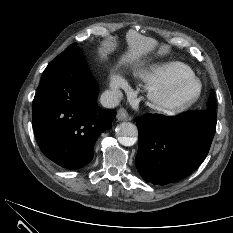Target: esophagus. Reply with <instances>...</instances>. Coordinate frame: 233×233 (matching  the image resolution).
<instances>
[{
    "label": "esophagus",
    "instance_id": "1",
    "mask_svg": "<svg viewBox=\"0 0 233 233\" xmlns=\"http://www.w3.org/2000/svg\"><path fill=\"white\" fill-rule=\"evenodd\" d=\"M117 119H118V121H130L132 118L126 109L120 108L117 111Z\"/></svg>",
    "mask_w": 233,
    "mask_h": 233
}]
</instances>
